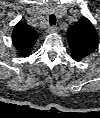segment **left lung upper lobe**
<instances>
[{
    "mask_svg": "<svg viewBox=\"0 0 100 118\" xmlns=\"http://www.w3.org/2000/svg\"><path fill=\"white\" fill-rule=\"evenodd\" d=\"M67 40L72 57L76 61L91 54L98 46V34L92 23L85 17L69 27Z\"/></svg>",
    "mask_w": 100,
    "mask_h": 118,
    "instance_id": "5c2ea615",
    "label": "left lung upper lobe"
}]
</instances>
